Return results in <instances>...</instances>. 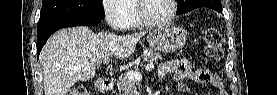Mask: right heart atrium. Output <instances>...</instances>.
<instances>
[{"label":"right heart atrium","mask_w":277,"mask_h":95,"mask_svg":"<svg viewBox=\"0 0 277 95\" xmlns=\"http://www.w3.org/2000/svg\"><path fill=\"white\" fill-rule=\"evenodd\" d=\"M125 0H103L102 10L108 25L114 30H120L124 26L126 11L122 7Z\"/></svg>","instance_id":"right-heart-atrium-1"}]
</instances>
